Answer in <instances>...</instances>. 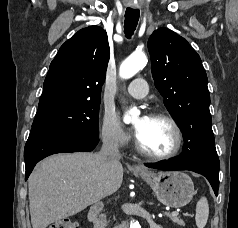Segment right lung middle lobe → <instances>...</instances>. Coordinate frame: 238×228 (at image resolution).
<instances>
[{
	"mask_svg": "<svg viewBox=\"0 0 238 228\" xmlns=\"http://www.w3.org/2000/svg\"><path fill=\"white\" fill-rule=\"evenodd\" d=\"M99 106L100 101H86L36 116L32 129H68L99 136Z\"/></svg>",
	"mask_w": 238,
	"mask_h": 228,
	"instance_id": "obj_1",
	"label": "right lung middle lobe"
}]
</instances>
